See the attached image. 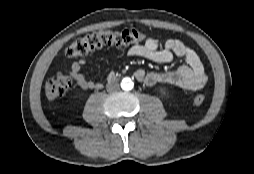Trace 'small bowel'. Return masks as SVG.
Wrapping results in <instances>:
<instances>
[{
  "mask_svg": "<svg viewBox=\"0 0 254 174\" xmlns=\"http://www.w3.org/2000/svg\"><path fill=\"white\" fill-rule=\"evenodd\" d=\"M127 54L130 57H142L161 64L170 63L175 57L184 60V63L176 70L169 72H146L143 69H137L134 73L135 78L146 86L163 83L196 91L202 89L207 82V74L198 54L180 40L168 39L161 45L153 37H144L141 43L131 46ZM85 63V58L73 62L70 76L84 89H99L100 82L91 80L81 73Z\"/></svg>",
  "mask_w": 254,
  "mask_h": 174,
  "instance_id": "small-bowel-1",
  "label": "small bowel"
}]
</instances>
